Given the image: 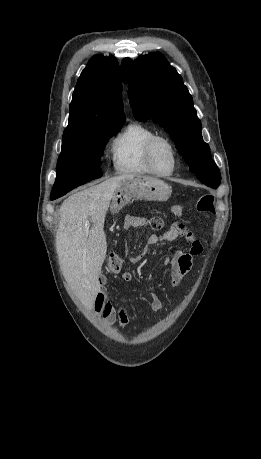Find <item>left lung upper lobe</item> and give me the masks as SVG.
Returning <instances> with one entry per match:
<instances>
[{"mask_svg": "<svg viewBox=\"0 0 261 459\" xmlns=\"http://www.w3.org/2000/svg\"><path fill=\"white\" fill-rule=\"evenodd\" d=\"M121 74L138 121L152 119L164 127L197 178L219 186L220 171L203 141L201 122L181 76L161 53L124 59Z\"/></svg>", "mask_w": 261, "mask_h": 459, "instance_id": "obj_1", "label": "left lung upper lobe"}]
</instances>
